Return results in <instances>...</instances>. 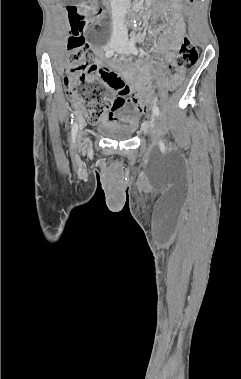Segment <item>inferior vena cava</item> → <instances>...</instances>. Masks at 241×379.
Returning <instances> with one entry per match:
<instances>
[{
	"instance_id": "602c4592",
	"label": "inferior vena cava",
	"mask_w": 241,
	"mask_h": 379,
	"mask_svg": "<svg viewBox=\"0 0 241 379\" xmlns=\"http://www.w3.org/2000/svg\"><path fill=\"white\" fill-rule=\"evenodd\" d=\"M112 8V19H113V34L114 39L127 40L128 31L124 23L127 3L126 0H110Z\"/></svg>"
}]
</instances>
